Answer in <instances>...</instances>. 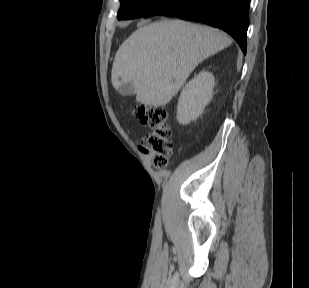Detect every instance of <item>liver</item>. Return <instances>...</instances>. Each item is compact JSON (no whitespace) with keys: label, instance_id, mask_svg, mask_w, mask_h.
I'll use <instances>...</instances> for the list:
<instances>
[{"label":"liver","instance_id":"liver-1","mask_svg":"<svg viewBox=\"0 0 309 288\" xmlns=\"http://www.w3.org/2000/svg\"><path fill=\"white\" fill-rule=\"evenodd\" d=\"M226 33L182 20L139 27L119 47L111 81L131 83L137 102L164 106L203 60L230 46Z\"/></svg>","mask_w":309,"mask_h":288}]
</instances>
